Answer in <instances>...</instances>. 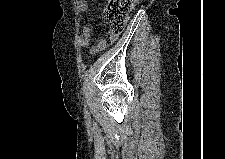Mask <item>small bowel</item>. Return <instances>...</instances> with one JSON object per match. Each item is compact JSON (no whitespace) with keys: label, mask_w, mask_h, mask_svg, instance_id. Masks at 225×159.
<instances>
[{"label":"small bowel","mask_w":225,"mask_h":159,"mask_svg":"<svg viewBox=\"0 0 225 159\" xmlns=\"http://www.w3.org/2000/svg\"><path fill=\"white\" fill-rule=\"evenodd\" d=\"M88 9V3L85 0L77 2L76 10L78 13H84ZM92 29L89 24L82 27L81 32L76 36V42L81 47H87L90 44ZM116 36L110 32L101 37L90 49L89 53L93 54L105 49L109 44L114 42Z\"/></svg>","instance_id":"1"}]
</instances>
